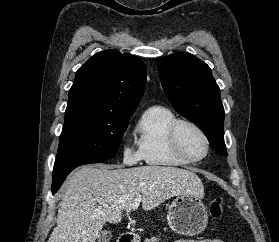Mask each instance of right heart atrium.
Returning <instances> with one entry per match:
<instances>
[{
	"instance_id": "d8ad5b80",
	"label": "right heart atrium",
	"mask_w": 279,
	"mask_h": 242,
	"mask_svg": "<svg viewBox=\"0 0 279 242\" xmlns=\"http://www.w3.org/2000/svg\"><path fill=\"white\" fill-rule=\"evenodd\" d=\"M121 154L122 161L126 165H134L142 159L139 150L133 148L126 138H123L121 142Z\"/></svg>"
}]
</instances>
